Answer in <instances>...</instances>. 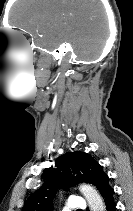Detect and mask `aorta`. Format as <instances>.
Returning <instances> with one entry per match:
<instances>
[{
	"instance_id": "aorta-1",
	"label": "aorta",
	"mask_w": 133,
	"mask_h": 211,
	"mask_svg": "<svg viewBox=\"0 0 133 211\" xmlns=\"http://www.w3.org/2000/svg\"><path fill=\"white\" fill-rule=\"evenodd\" d=\"M80 191L87 200L90 211H105L104 202L97 190L88 184H82Z\"/></svg>"
}]
</instances>
